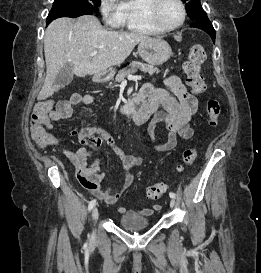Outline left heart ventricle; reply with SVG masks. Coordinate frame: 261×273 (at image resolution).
<instances>
[{"label":"left heart ventricle","instance_id":"b2bd125f","mask_svg":"<svg viewBox=\"0 0 261 273\" xmlns=\"http://www.w3.org/2000/svg\"><path fill=\"white\" fill-rule=\"evenodd\" d=\"M181 10L175 0H163L158 11L160 22L166 27H173L181 20Z\"/></svg>","mask_w":261,"mask_h":273}]
</instances>
